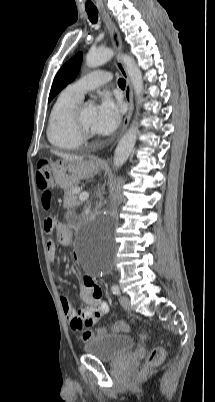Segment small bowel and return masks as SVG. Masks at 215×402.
<instances>
[{
  "instance_id": "1",
  "label": "small bowel",
  "mask_w": 215,
  "mask_h": 402,
  "mask_svg": "<svg viewBox=\"0 0 215 402\" xmlns=\"http://www.w3.org/2000/svg\"><path fill=\"white\" fill-rule=\"evenodd\" d=\"M45 231L47 233L56 231L58 241L63 246H67L71 242L69 229L58 225L56 221L51 230L45 229ZM46 246L49 258L54 260L57 253L56 242L53 239H49L46 242ZM59 291L64 315L74 330H80L84 325L96 324L109 312L108 303L102 300L101 288L89 276L82 277L80 289V298L86 304V307L76 310L61 286H59Z\"/></svg>"
}]
</instances>
